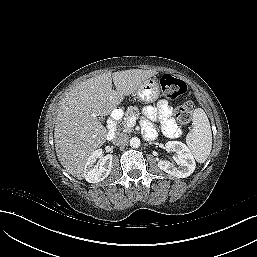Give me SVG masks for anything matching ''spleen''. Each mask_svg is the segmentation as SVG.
Instances as JSON below:
<instances>
[{
  "label": "spleen",
  "instance_id": "1",
  "mask_svg": "<svg viewBox=\"0 0 257 257\" xmlns=\"http://www.w3.org/2000/svg\"><path fill=\"white\" fill-rule=\"evenodd\" d=\"M186 144L197 162L207 160L212 149V133L208 117L201 108L193 112L192 130L186 136Z\"/></svg>",
  "mask_w": 257,
  "mask_h": 257
}]
</instances>
